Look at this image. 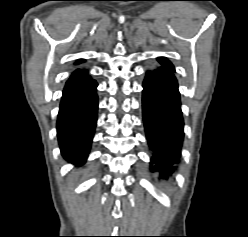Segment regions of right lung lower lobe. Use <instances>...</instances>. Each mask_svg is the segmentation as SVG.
Listing matches in <instances>:
<instances>
[{
	"label": "right lung lower lobe",
	"mask_w": 248,
	"mask_h": 237,
	"mask_svg": "<svg viewBox=\"0 0 248 237\" xmlns=\"http://www.w3.org/2000/svg\"><path fill=\"white\" fill-rule=\"evenodd\" d=\"M97 83L85 71L76 70L66 82L57 120V136L63 156L83 163L90 149L97 120Z\"/></svg>",
	"instance_id": "1"
}]
</instances>
